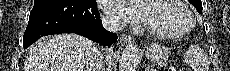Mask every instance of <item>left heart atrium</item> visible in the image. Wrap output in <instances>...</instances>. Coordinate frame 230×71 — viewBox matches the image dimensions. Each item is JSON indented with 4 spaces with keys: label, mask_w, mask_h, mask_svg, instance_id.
Masks as SVG:
<instances>
[{
    "label": "left heart atrium",
    "mask_w": 230,
    "mask_h": 71,
    "mask_svg": "<svg viewBox=\"0 0 230 71\" xmlns=\"http://www.w3.org/2000/svg\"><path fill=\"white\" fill-rule=\"evenodd\" d=\"M104 9L113 16L129 23L145 22L143 1L105 0Z\"/></svg>",
    "instance_id": "left-heart-atrium-1"
}]
</instances>
